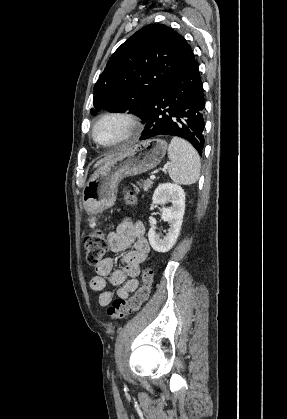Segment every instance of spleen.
Instances as JSON below:
<instances>
[{"label": "spleen", "instance_id": "spleen-1", "mask_svg": "<svg viewBox=\"0 0 287 419\" xmlns=\"http://www.w3.org/2000/svg\"><path fill=\"white\" fill-rule=\"evenodd\" d=\"M168 173L178 184L192 185L200 176V157L194 147L186 140L174 137L168 147Z\"/></svg>", "mask_w": 287, "mask_h": 419}]
</instances>
